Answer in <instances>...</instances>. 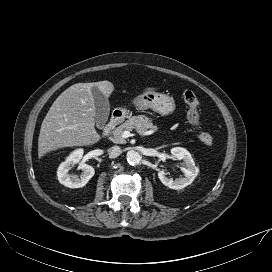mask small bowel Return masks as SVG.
I'll return each instance as SVG.
<instances>
[{
    "mask_svg": "<svg viewBox=\"0 0 272 272\" xmlns=\"http://www.w3.org/2000/svg\"><path fill=\"white\" fill-rule=\"evenodd\" d=\"M148 125L149 123L146 120L142 121L140 125V131L145 132L148 128Z\"/></svg>",
    "mask_w": 272,
    "mask_h": 272,
    "instance_id": "c3829d8e",
    "label": "small bowel"
}]
</instances>
